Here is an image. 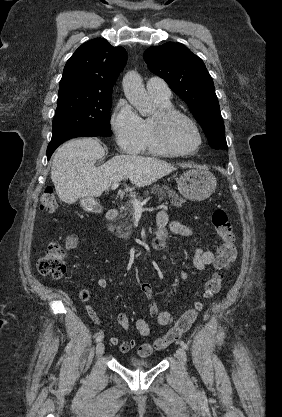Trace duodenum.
Returning <instances> with one entry per match:
<instances>
[{
  "label": "duodenum",
  "mask_w": 282,
  "mask_h": 417,
  "mask_svg": "<svg viewBox=\"0 0 282 417\" xmlns=\"http://www.w3.org/2000/svg\"><path fill=\"white\" fill-rule=\"evenodd\" d=\"M119 214V210L116 207H112L109 209V211L106 214V222H110L114 220ZM158 249H161L164 247V243L160 242L156 245Z\"/></svg>",
  "instance_id": "obj_1"
}]
</instances>
